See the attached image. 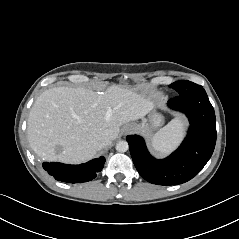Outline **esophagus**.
Listing matches in <instances>:
<instances>
[{
    "instance_id": "1",
    "label": "esophagus",
    "mask_w": 239,
    "mask_h": 239,
    "mask_svg": "<svg viewBox=\"0 0 239 239\" xmlns=\"http://www.w3.org/2000/svg\"><path fill=\"white\" fill-rule=\"evenodd\" d=\"M135 129L134 125H128L125 127L124 132L125 134L131 133Z\"/></svg>"
}]
</instances>
